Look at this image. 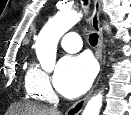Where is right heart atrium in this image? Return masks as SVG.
I'll return each mask as SVG.
<instances>
[{
  "label": "right heart atrium",
  "instance_id": "d8ad5b80",
  "mask_svg": "<svg viewBox=\"0 0 131 115\" xmlns=\"http://www.w3.org/2000/svg\"><path fill=\"white\" fill-rule=\"evenodd\" d=\"M31 90L36 92L42 99L51 101L55 94L51 87L49 76L39 67H34L28 77Z\"/></svg>",
  "mask_w": 131,
  "mask_h": 115
}]
</instances>
